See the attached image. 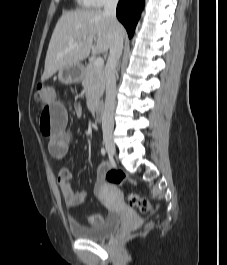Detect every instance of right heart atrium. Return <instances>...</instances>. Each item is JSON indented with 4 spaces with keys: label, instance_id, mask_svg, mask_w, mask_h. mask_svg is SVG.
Wrapping results in <instances>:
<instances>
[{
    "label": "right heart atrium",
    "instance_id": "right-heart-atrium-1",
    "mask_svg": "<svg viewBox=\"0 0 227 265\" xmlns=\"http://www.w3.org/2000/svg\"><path fill=\"white\" fill-rule=\"evenodd\" d=\"M114 1L116 0H89L90 4L95 7H101Z\"/></svg>",
    "mask_w": 227,
    "mask_h": 265
}]
</instances>
